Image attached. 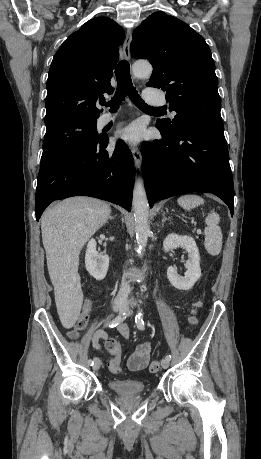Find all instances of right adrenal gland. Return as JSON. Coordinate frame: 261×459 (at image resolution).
<instances>
[{
	"mask_svg": "<svg viewBox=\"0 0 261 459\" xmlns=\"http://www.w3.org/2000/svg\"><path fill=\"white\" fill-rule=\"evenodd\" d=\"M114 218H115V217H113V216H109L108 219H109V220H113Z\"/></svg>",
	"mask_w": 261,
	"mask_h": 459,
	"instance_id": "2a0ac1e0",
	"label": "right adrenal gland"
}]
</instances>
